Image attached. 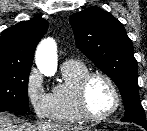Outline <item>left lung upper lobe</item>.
Instances as JSON below:
<instances>
[{"instance_id":"1","label":"left lung upper lobe","mask_w":147,"mask_h":131,"mask_svg":"<svg viewBox=\"0 0 147 131\" xmlns=\"http://www.w3.org/2000/svg\"><path fill=\"white\" fill-rule=\"evenodd\" d=\"M69 21L77 48L119 88L125 105L121 121L147 124L138 94V64L123 24L95 6L73 14Z\"/></svg>"}]
</instances>
